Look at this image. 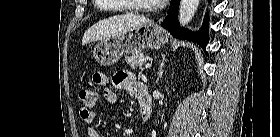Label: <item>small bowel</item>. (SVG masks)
<instances>
[{
    "mask_svg": "<svg viewBox=\"0 0 280 137\" xmlns=\"http://www.w3.org/2000/svg\"><path fill=\"white\" fill-rule=\"evenodd\" d=\"M93 81L97 85L105 88L103 92L104 99L107 104L113 108L118 105L119 98L114 90L108 88L111 83L117 89L126 91L127 93L133 94L136 97L138 87L141 84L127 70H118L111 77L104 72H97L93 76ZM80 116L86 125V136L100 137L93 125L95 120V113L87 108H82L80 111Z\"/></svg>",
    "mask_w": 280,
    "mask_h": 137,
    "instance_id": "c3829d8e",
    "label": "small bowel"
}]
</instances>
